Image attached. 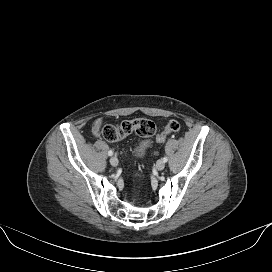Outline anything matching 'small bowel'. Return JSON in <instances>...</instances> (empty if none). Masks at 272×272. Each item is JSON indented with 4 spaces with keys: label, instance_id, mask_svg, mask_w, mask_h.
Listing matches in <instances>:
<instances>
[{
    "label": "small bowel",
    "instance_id": "small-bowel-1",
    "mask_svg": "<svg viewBox=\"0 0 272 272\" xmlns=\"http://www.w3.org/2000/svg\"><path fill=\"white\" fill-rule=\"evenodd\" d=\"M102 127V120L101 119H97L94 123H93V132L94 134H99L100 130ZM157 142L161 143L160 140H157Z\"/></svg>",
    "mask_w": 272,
    "mask_h": 272
}]
</instances>
